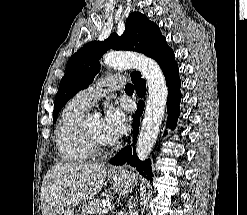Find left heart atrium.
I'll list each match as a JSON object with an SVG mask.
<instances>
[{
  "label": "left heart atrium",
  "instance_id": "obj_1",
  "mask_svg": "<svg viewBox=\"0 0 247 215\" xmlns=\"http://www.w3.org/2000/svg\"><path fill=\"white\" fill-rule=\"evenodd\" d=\"M126 130L127 120L123 110L117 106H109L102 121V133L106 141H116Z\"/></svg>",
  "mask_w": 247,
  "mask_h": 215
}]
</instances>
